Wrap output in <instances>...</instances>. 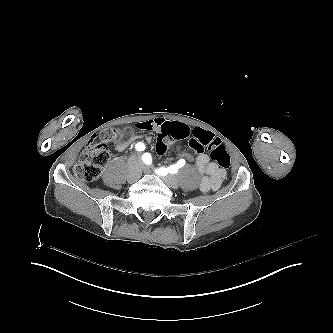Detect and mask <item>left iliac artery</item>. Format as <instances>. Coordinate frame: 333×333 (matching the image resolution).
Segmentation results:
<instances>
[{
    "instance_id": "1",
    "label": "left iliac artery",
    "mask_w": 333,
    "mask_h": 333,
    "mask_svg": "<svg viewBox=\"0 0 333 333\" xmlns=\"http://www.w3.org/2000/svg\"><path fill=\"white\" fill-rule=\"evenodd\" d=\"M142 160L147 165H151V163H152V157L149 153L143 154ZM184 165H185V160H183V159H180L177 162V167H183ZM174 167H176V166L172 165L168 169L164 168V167H161L159 169H156L155 171L158 175L165 176L168 173V170H169L170 173H174V170H173Z\"/></svg>"
}]
</instances>
